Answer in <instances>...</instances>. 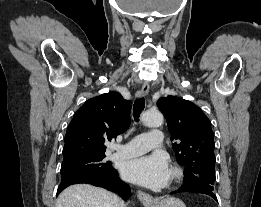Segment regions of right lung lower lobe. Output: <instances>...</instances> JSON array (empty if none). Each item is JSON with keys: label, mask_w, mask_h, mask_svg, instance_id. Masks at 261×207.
<instances>
[{"label": "right lung lower lobe", "mask_w": 261, "mask_h": 207, "mask_svg": "<svg viewBox=\"0 0 261 207\" xmlns=\"http://www.w3.org/2000/svg\"><path fill=\"white\" fill-rule=\"evenodd\" d=\"M78 183L92 184L110 191L118 192L123 199H128L131 196L130 187L121 181L118 172L115 169L109 172H82L63 176L61 177L57 195L69 185Z\"/></svg>", "instance_id": "obj_1"}]
</instances>
